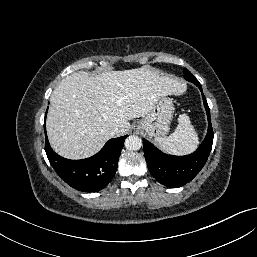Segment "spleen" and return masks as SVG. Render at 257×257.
Masks as SVG:
<instances>
[{"label":"spleen","instance_id":"3e777b00","mask_svg":"<svg viewBox=\"0 0 257 257\" xmlns=\"http://www.w3.org/2000/svg\"><path fill=\"white\" fill-rule=\"evenodd\" d=\"M155 141L162 150L173 155L188 154L199 144L198 134L186 114L179 116L178 125L170 136L158 137Z\"/></svg>","mask_w":257,"mask_h":257}]
</instances>
